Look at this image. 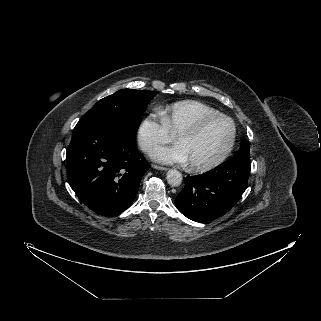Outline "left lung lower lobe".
Here are the masks:
<instances>
[{
    "label": "left lung lower lobe",
    "mask_w": 321,
    "mask_h": 321,
    "mask_svg": "<svg viewBox=\"0 0 321 321\" xmlns=\"http://www.w3.org/2000/svg\"><path fill=\"white\" fill-rule=\"evenodd\" d=\"M250 168V157L235 154L202 175L186 177V185L175 199L177 209L203 223L225 215L246 190Z\"/></svg>",
    "instance_id": "left-lung-lower-lobe-1"
}]
</instances>
